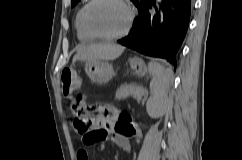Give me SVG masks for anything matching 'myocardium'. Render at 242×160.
Returning a JSON list of instances; mask_svg holds the SVG:
<instances>
[{
	"mask_svg": "<svg viewBox=\"0 0 242 160\" xmlns=\"http://www.w3.org/2000/svg\"><path fill=\"white\" fill-rule=\"evenodd\" d=\"M98 0H90L84 7L83 9V13H82V23L83 26L85 28V30L94 38L96 39H101V40H108V41H113V40H118L121 39L123 37H125L126 35L129 34V32L131 31L133 25H134V21H135V17H136V13L135 10L133 8V6L131 5V3L129 2V0H118L121 4H123L125 6V8L128 11V22L126 27L119 33L117 34H111V35H106V34H100L95 32L89 22H88V12L89 9L91 8V6L96 3Z\"/></svg>",
	"mask_w": 242,
	"mask_h": 160,
	"instance_id": "obj_1",
	"label": "myocardium"
}]
</instances>
